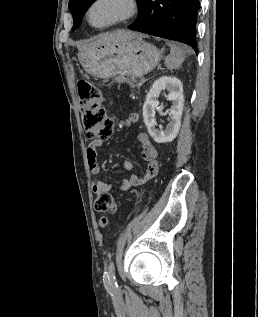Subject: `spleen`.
<instances>
[{
    "label": "spleen",
    "instance_id": "3e777b00",
    "mask_svg": "<svg viewBox=\"0 0 258 317\" xmlns=\"http://www.w3.org/2000/svg\"><path fill=\"white\" fill-rule=\"evenodd\" d=\"M171 50L170 54L166 56L165 58V66L167 68H178L180 64H182L186 52H191L190 48H180V46H177V44H170Z\"/></svg>",
    "mask_w": 258,
    "mask_h": 317
}]
</instances>
